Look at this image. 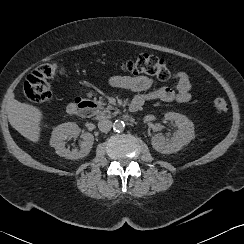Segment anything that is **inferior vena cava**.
Here are the masks:
<instances>
[{
  "instance_id": "obj_1",
  "label": "inferior vena cava",
  "mask_w": 244,
  "mask_h": 244,
  "mask_svg": "<svg viewBox=\"0 0 244 244\" xmlns=\"http://www.w3.org/2000/svg\"><path fill=\"white\" fill-rule=\"evenodd\" d=\"M111 127H112V121L109 119L104 118L99 120L98 122V128L103 132L109 131Z\"/></svg>"
}]
</instances>
